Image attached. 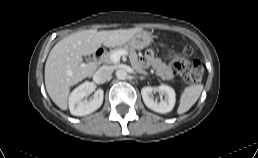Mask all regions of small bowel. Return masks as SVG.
I'll use <instances>...</instances> for the list:
<instances>
[{
	"mask_svg": "<svg viewBox=\"0 0 258 158\" xmlns=\"http://www.w3.org/2000/svg\"><path fill=\"white\" fill-rule=\"evenodd\" d=\"M144 59L161 78L166 80L172 79L173 73L171 69L159 57H157L152 50H148L145 53Z\"/></svg>",
	"mask_w": 258,
	"mask_h": 158,
	"instance_id": "1",
	"label": "small bowel"
}]
</instances>
